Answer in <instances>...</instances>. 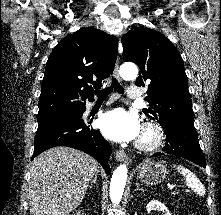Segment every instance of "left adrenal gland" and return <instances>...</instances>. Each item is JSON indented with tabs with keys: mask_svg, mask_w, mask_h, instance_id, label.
I'll use <instances>...</instances> for the list:
<instances>
[{
	"mask_svg": "<svg viewBox=\"0 0 221 215\" xmlns=\"http://www.w3.org/2000/svg\"><path fill=\"white\" fill-rule=\"evenodd\" d=\"M136 191H143V189L140 188V184L139 183H137V187L134 190V192H136Z\"/></svg>",
	"mask_w": 221,
	"mask_h": 215,
	"instance_id": "a2214340",
	"label": "left adrenal gland"
}]
</instances>
